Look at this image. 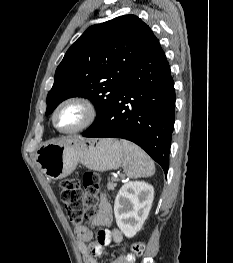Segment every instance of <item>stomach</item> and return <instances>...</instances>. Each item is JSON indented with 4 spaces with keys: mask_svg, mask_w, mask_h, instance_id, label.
I'll list each match as a JSON object with an SVG mask.
<instances>
[{
    "mask_svg": "<svg viewBox=\"0 0 233 263\" xmlns=\"http://www.w3.org/2000/svg\"><path fill=\"white\" fill-rule=\"evenodd\" d=\"M124 155V148L116 139L67 137L41 145L36 164L47 177L59 180L71 174L78 163L96 171L118 169Z\"/></svg>",
    "mask_w": 233,
    "mask_h": 263,
    "instance_id": "stomach-1",
    "label": "stomach"
}]
</instances>
